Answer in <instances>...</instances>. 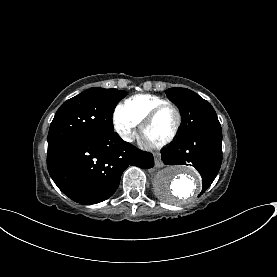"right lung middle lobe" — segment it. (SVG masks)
Instances as JSON below:
<instances>
[{
	"label": "right lung middle lobe",
	"mask_w": 277,
	"mask_h": 277,
	"mask_svg": "<svg viewBox=\"0 0 277 277\" xmlns=\"http://www.w3.org/2000/svg\"><path fill=\"white\" fill-rule=\"evenodd\" d=\"M126 95V91L94 87L67 100L50 125L48 146L73 138L113 134L112 115Z\"/></svg>",
	"instance_id": "obj_1"
}]
</instances>
